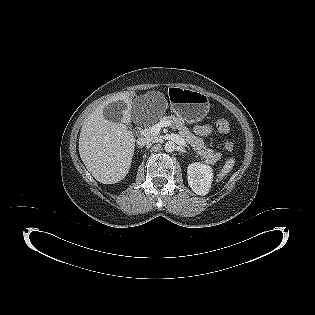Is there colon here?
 Segmentation results:
<instances>
[{"instance_id":"1","label":"colon","mask_w":315,"mask_h":315,"mask_svg":"<svg viewBox=\"0 0 315 315\" xmlns=\"http://www.w3.org/2000/svg\"><path fill=\"white\" fill-rule=\"evenodd\" d=\"M217 129L221 133L229 132V130H230L229 122L226 119L218 120ZM224 147L227 151H233L234 150V144L232 142H226Z\"/></svg>"}]
</instances>
